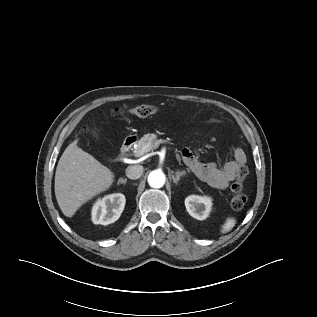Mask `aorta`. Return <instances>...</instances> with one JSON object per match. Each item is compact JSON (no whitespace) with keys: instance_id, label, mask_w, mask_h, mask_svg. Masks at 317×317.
I'll use <instances>...</instances> for the list:
<instances>
[{"instance_id":"1","label":"aorta","mask_w":317,"mask_h":317,"mask_svg":"<svg viewBox=\"0 0 317 317\" xmlns=\"http://www.w3.org/2000/svg\"><path fill=\"white\" fill-rule=\"evenodd\" d=\"M165 174L161 170H154L148 175V183L152 188H161L165 184Z\"/></svg>"}]
</instances>
